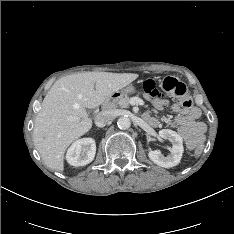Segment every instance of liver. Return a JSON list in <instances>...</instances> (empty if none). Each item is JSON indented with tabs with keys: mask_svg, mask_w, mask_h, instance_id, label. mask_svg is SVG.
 <instances>
[{
	"mask_svg": "<svg viewBox=\"0 0 234 234\" xmlns=\"http://www.w3.org/2000/svg\"><path fill=\"white\" fill-rule=\"evenodd\" d=\"M137 77L135 73L83 72L58 79L34 122L33 141L44 163L63 171L67 147L92 127L86 108L98 107Z\"/></svg>",
	"mask_w": 234,
	"mask_h": 234,
	"instance_id": "obj_1",
	"label": "liver"
}]
</instances>
